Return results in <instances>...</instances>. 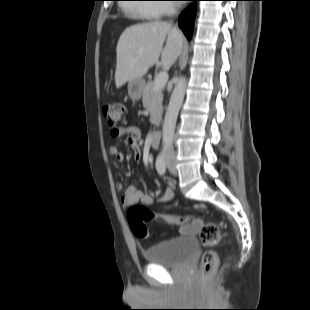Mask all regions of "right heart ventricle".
<instances>
[{
    "label": "right heart ventricle",
    "instance_id": "e07e8e85",
    "mask_svg": "<svg viewBox=\"0 0 310 310\" xmlns=\"http://www.w3.org/2000/svg\"><path fill=\"white\" fill-rule=\"evenodd\" d=\"M156 5L138 4L131 9V12L139 16L143 20H152L157 18L161 14L160 10L156 7Z\"/></svg>",
    "mask_w": 310,
    "mask_h": 310
}]
</instances>
